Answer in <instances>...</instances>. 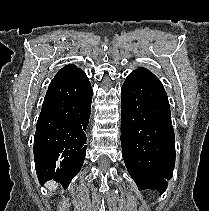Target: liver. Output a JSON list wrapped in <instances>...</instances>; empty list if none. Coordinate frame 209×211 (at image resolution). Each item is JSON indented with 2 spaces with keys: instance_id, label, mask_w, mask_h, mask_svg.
<instances>
[{
  "instance_id": "6515ba94",
  "label": "liver",
  "mask_w": 209,
  "mask_h": 211,
  "mask_svg": "<svg viewBox=\"0 0 209 211\" xmlns=\"http://www.w3.org/2000/svg\"><path fill=\"white\" fill-rule=\"evenodd\" d=\"M46 187H48L50 191H53L57 188V184L55 182H48Z\"/></svg>"
}]
</instances>
